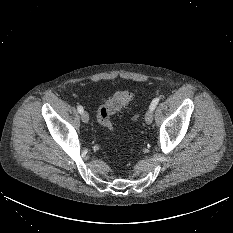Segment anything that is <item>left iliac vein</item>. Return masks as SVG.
<instances>
[{"label": "left iliac vein", "instance_id": "obj_1", "mask_svg": "<svg viewBox=\"0 0 233 233\" xmlns=\"http://www.w3.org/2000/svg\"><path fill=\"white\" fill-rule=\"evenodd\" d=\"M145 121L147 124H151L153 121V110L150 108L147 110L145 114Z\"/></svg>", "mask_w": 233, "mask_h": 233}]
</instances>
